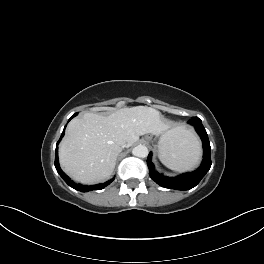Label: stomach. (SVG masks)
<instances>
[{
  "label": "stomach",
  "instance_id": "stomach-1",
  "mask_svg": "<svg viewBox=\"0 0 264 264\" xmlns=\"http://www.w3.org/2000/svg\"><path fill=\"white\" fill-rule=\"evenodd\" d=\"M146 139H147V140H150L151 137L147 136ZM169 139H170V138H167L166 135H162V136L160 137L159 142H158V148H159L160 146H162L163 144L168 143V142H169Z\"/></svg>",
  "mask_w": 264,
  "mask_h": 264
}]
</instances>
